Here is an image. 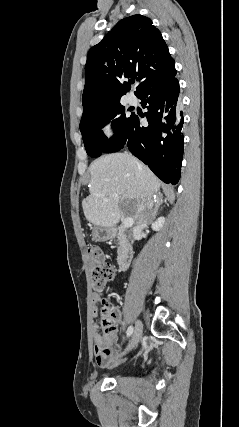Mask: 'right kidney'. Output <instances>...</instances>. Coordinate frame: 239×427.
Instances as JSON below:
<instances>
[{"instance_id":"1","label":"right kidney","mask_w":239,"mask_h":427,"mask_svg":"<svg viewBox=\"0 0 239 427\" xmlns=\"http://www.w3.org/2000/svg\"><path fill=\"white\" fill-rule=\"evenodd\" d=\"M165 222V218L164 217H159L153 224H152V229L154 231H159Z\"/></svg>"}]
</instances>
